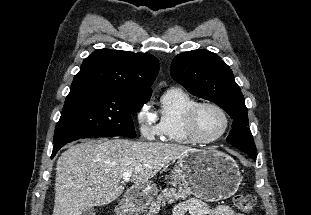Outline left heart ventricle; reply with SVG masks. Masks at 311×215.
<instances>
[{"label":"left heart ventricle","instance_id":"obj_1","mask_svg":"<svg viewBox=\"0 0 311 215\" xmlns=\"http://www.w3.org/2000/svg\"><path fill=\"white\" fill-rule=\"evenodd\" d=\"M224 120L221 114L212 107H203L197 114L196 128L203 137L216 136L223 128Z\"/></svg>","mask_w":311,"mask_h":215}]
</instances>
